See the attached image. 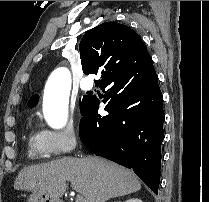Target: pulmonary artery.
Wrapping results in <instances>:
<instances>
[{
	"mask_svg": "<svg viewBox=\"0 0 209 202\" xmlns=\"http://www.w3.org/2000/svg\"><path fill=\"white\" fill-rule=\"evenodd\" d=\"M81 85L83 88L89 89L93 86V81L91 79H85L84 81H82Z\"/></svg>",
	"mask_w": 209,
	"mask_h": 202,
	"instance_id": "e3ab8cb5",
	"label": "pulmonary artery"
}]
</instances>
